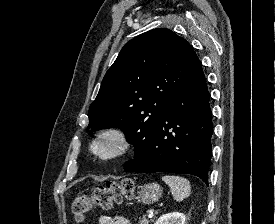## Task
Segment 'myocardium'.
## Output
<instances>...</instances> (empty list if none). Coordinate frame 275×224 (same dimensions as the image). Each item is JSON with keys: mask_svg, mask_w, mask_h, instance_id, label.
Returning a JSON list of instances; mask_svg holds the SVG:
<instances>
[{"mask_svg": "<svg viewBox=\"0 0 275 224\" xmlns=\"http://www.w3.org/2000/svg\"><path fill=\"white\" fill-rule=\"evenodd\" d=\"M131 148L127 133L119 127H106L94 134L89 152L96 159L108 162L123 157Z\"/></svg>", "mask_w": 275, "mask_h": 224, "instance_id": "1", "label": "myocardium"}]
</instances>
